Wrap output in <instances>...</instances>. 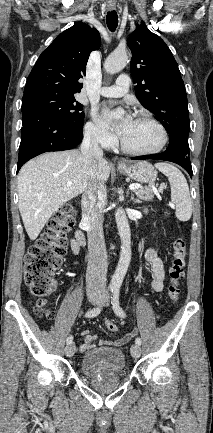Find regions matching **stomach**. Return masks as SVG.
<instances>
[{
	"instance_id": "1",
	"label": "stomach",
	"mask_w": 213,
	"mask_h": 433,
	"mask_svg": "<svg viewBox=\"0 0 213 433\" xmlns=\"http://www.w3.org/2000/svg\"><path fill=\"white\" fill-rule=\"evenodd\" d=\"M118 169L121 173L141 183L152 185L157 178V171L146 161L119 166Z\"/></svg>"
}]
</instances>
